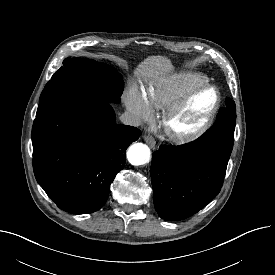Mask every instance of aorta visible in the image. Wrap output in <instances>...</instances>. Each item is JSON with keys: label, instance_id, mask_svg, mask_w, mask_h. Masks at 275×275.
<instances>
[{"label": "aorta", "instance_id": "aorta-1", "mask_svg": "<svg viewBox=\"0 0 275 275\" xmlns=\"http://www.w3.org/2000/svg\"><path fill=\"white\" fill-rule=\"evenodd\" d=\"M150 149L143 143L131 145L127 151L128 161L135 166L143 165L150 160Z\"/></svg>", "mask_w": 275, "mask_h": 275}]
</instances>
